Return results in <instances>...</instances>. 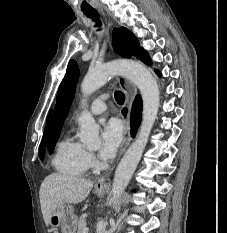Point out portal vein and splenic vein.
Segmentation results:
<instances>
[{
	"mask_svg": "<svg viewBox=\"0 0 227 233\" xmlns=\"http://www.w3.org/2000/svg\"><path fill=\"white\" fill-rule=\"evenodd\" d=\"M88 230H89V228L86 227V228L84 229V233H88Z\"/></svg>",
	"mask_w": 227,
	"mask_h": 233,
	"instance_id": "obj_1",
	"label": "portal vein and splenic vein"
}]
</instances>
